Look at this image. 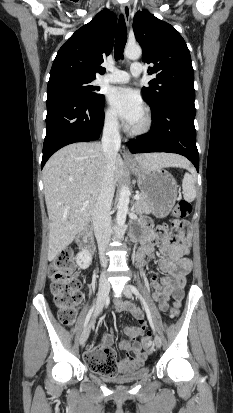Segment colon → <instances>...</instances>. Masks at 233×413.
<instances>
[{
  "instance_id": "1",
  "label": "colon",
  "mask_w": 233,
  "mask_h": 413,
  "mask_svg": "<svg viewBox=\"0 0 233 413\" xmlns=\"http://www.w3.org/2000/svg\"><path fill=\"white\" fill-rule=\"evenodd\" d=\"M192 212V205L185 199H180L174 209V215L179 221L176 222L178 229H185L182 219L188 217ZM51 279V292L58 308V318L65 326H71L76 318L77 309L81 302L80 281L75 269L73 254L69 250L62 251L51 263L49 268ZM180 310L177 303H173L170 316L177 318ZM152 339L147 335L142 340L145 350L151 347ZM87 365L96 372L113 375L119 372L117 358L112 349H100L96 356L85 358Z\"/></svg>"
}]
</instances>
